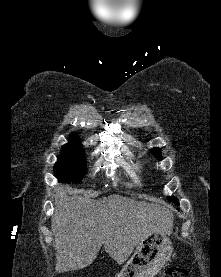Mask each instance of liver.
<instances>
[{"instance_id":"6515ba94","label":"liver","mask_w":221,"mask_h":277,"mask_svg":"<svg viewBox=\"0 0 221 277\" xmlns=\"http://www.w3.org/2000/svg\"><path fill=\"white\" fill-rule=\"evenodd\" d=\"M51 227L57 250L56 271L83 269L96 259L102 245L118 264L154 232L170 234L173 214L163 206L118 194L99 200L67 195L55 189Z\"/></svg>"}]
</instances>
